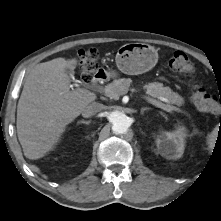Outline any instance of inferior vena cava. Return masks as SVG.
<instances>
[{"label":"inferior vena cava","instance_id":"obj_1","mask_svg":"<svg viewBox=\"0 0 221 221\" xmlns=\"http://www.w3.org/2000/svg\"><path fill=\"white\" fill-rule=\"evenodd\" d=\"M101 109H102V105L100 103L92 102L82 109V116L84 118L92 117L96 115L98 112H100Z\"/></svg>","mask_w":221,"mask_h":221}]
</instances>
